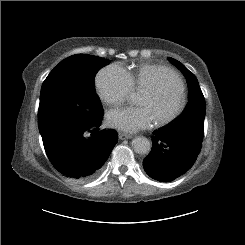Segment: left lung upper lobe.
Returning <instances> with one entry per match:
<instances>
[{
    "label": "left lung upper lobe",
    "mask_w": 245,
    "mask_h": 245,
    "mask_svg": "<svg viewBox=\"0 0 245 245\" xmlns=\"http://www.w3.org/2000/svg\"><path fill=\"white\" fill-rule=\"evenodd\" d=\"M168 59L185 76L189 89V100L180 118L174 124L164 128L163 131L170 134L184 135L202 143L204 136L205 99L198 81L195 75L179 61L170 57Z\"/></svg>",
    "instance_id": "obj_1"
}]
</instances>
